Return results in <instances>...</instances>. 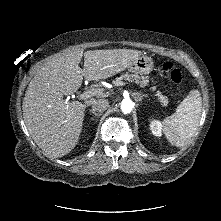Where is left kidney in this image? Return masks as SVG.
I'll return each instance as SVG.
<instances>
[{"instance_id": "obj_1", "label": "left kidney", "mask_w": 221, "mask_h": 221, "mask_svg": "<svg viewBox=\"0 0 221 221\" xmlns=\"http://www.w3.org/2000/svg\"><path fill=\"white\" fill-rule=\"evenodd\" d=\"M150 129L153 133V135L157 137L162 136V123L158 120H152L150 123Z\"/></svg>"}]
</instances>
